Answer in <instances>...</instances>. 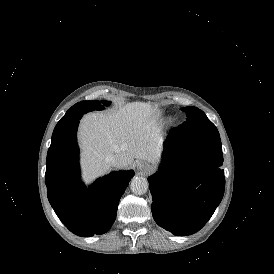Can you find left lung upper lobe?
I'll return each mask as SVG.
<instances>
[{"label": "left lung upper lobe", "instance_id": "left-lung-upper-lobe-1", "mask_svg": "<svg viewBox=\"0 0 274 274\" xmlns=\"http://www.w3.org/2000/svg\"><path fill=\"white\" fill-rule=\"evenodd\" d=\"M187 115V121L179 125L182 130L188 132L218 134L215 125L207 118L205 113L196 107H184L181 109Z\"/></svg>", "mask_w": 274, "mask_h": 274}]
</instances>
